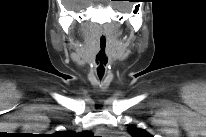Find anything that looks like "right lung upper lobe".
Here are the masks:
<instances>
[{"label":"right lung upper lobe","mask_w":206,"mask_h":137,"mask_svg":"<svg viewBox=\"0 0 206 137\" xmlns=\"http://www.w3.org/2000/svg\"><path fill=\"white\" fill-rule=\"evenodd\" d=\"M71 133L72 132H70V131H61V132H58L57 135L61 134L60 136H69V134H71Z\"/></svg>","instance_id":"right-lung-upper-lobe-1"}]
</instances>
